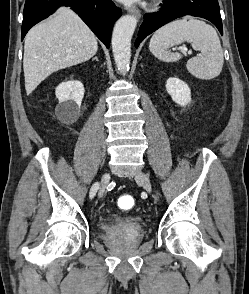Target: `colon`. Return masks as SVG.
Wrapping results in <instances>:
<instances>
[{
	"label": "colon",
	"mask_w": 249,
	"mask_h": 294,
	"mask_svg": "<svg viewBox=\"0 0 249 294\" xmlns=\"http://www.w3.org/2000/svg\"><path fill=\"white\" fill-rule=\"evenodd\" d=\"M118 204L122 209H130L135 205V200L131 196H121L118 200Z\"/></svg>",
	"instance_id": "obj_1"
}]
</instances>
